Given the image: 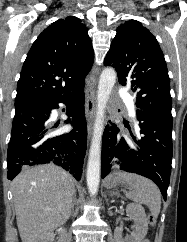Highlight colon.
Masks as SVG:
<instances>
[{
    "mask_svg": "<svg viewBox=\"0 0 187 242\" xmlns=\"http://www.w3.org/2000/svg\"><path fill=\"white\" fill-rule=\"evenodd\" d=\"M148 220H149V222H150L151 224H153V223L155 222L154 217L151 216V215L148 217ZM144 242H148V241H144Z\"/></svg>",
    "mask_w": 187,
    "mask_h": 242,
    "instance_id": "5ec220e1",
    "label": "colon"
}]
</instances>
